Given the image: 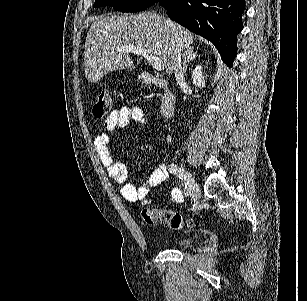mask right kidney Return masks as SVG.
<instances>
[{
  "label": "right kidney",
  "mask_w": 307,
  "mask_h": 301,
  "mask_svg": "<svg viewBox=\"0 0 307 301\" xmlns=\"http://www.w3.org/2000/svg\"><path fill=\"white\" fill-rule=\"evenodd\" d=\"M191 78L194 84H197V86H200V88H204V86H206L207 80L206 76H204L203 66H201V64H197V66L193 68Z\"/></svg>",
  "instance_id": "obj_1"
}]
</instances>
